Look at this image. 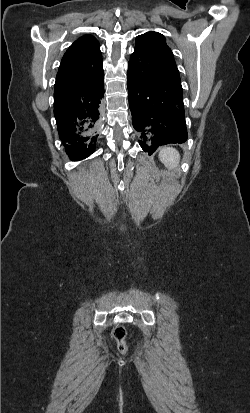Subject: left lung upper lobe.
<instances>
[{"label":"left lung upper lobe","mask_w":250,"mask_h":413,"mask_svg":"<svg viewBox=\"0 0 250 413\" xmlns=\"http://www.w3.org/2000/svg\"><path fill=\"white\" fill-rule=\"evenodd\" d=\"M150 36L157 37V38H159L161 41L165 42V38H164V36H163L162 34L157 33V32H147V33H145V34L139 35V36L136 38V45H138L141 41H143L145 37H150Z\"/></svg>","instance_id":"left-lung-upper-lobe-1"}]
</instances>
